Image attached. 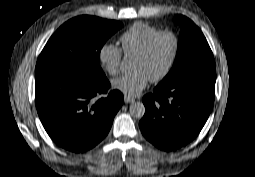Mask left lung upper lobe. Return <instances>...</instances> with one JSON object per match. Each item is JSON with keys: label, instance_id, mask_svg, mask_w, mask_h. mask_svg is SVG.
<instances>
[{"label": "left lung upper lobe", "instance_id": "5c2ea615", "mask_svg": "<svg viewBox=\"0 0 255 177\" xmlns=\"http://www.w3.org/2000/svg\"><path fill=\"white\" fill-rule=\"evenodd\" d=\"M181 26L175 63L157 87H167L200 73H215L212 51L201 30L187 17L178 16Z\"/></svg>", "mask_w": 255, "mask_h": 177}]
</instances>
